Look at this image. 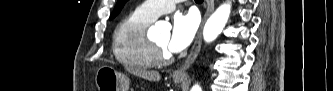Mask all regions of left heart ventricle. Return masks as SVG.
<instances>
[{"instance_id":"obj_1","label":"left heart ventricle","mask_w":333,"mask_h":91,"mask_svg":"<svg viewBox=\"0 0 333 91\" xmlns=\"http://www.w3.org/2000/svg\"><path fill=\"white\" fill-rule=\"evenodd\" d=\"M168 39H169V33L164 32V33L157 35L152 41L154 43H156L158 46H160L161 48L167 50Z\"/></svg>"}]
</instances>
